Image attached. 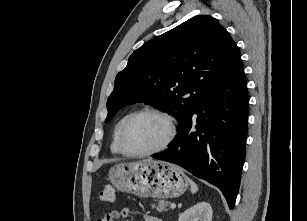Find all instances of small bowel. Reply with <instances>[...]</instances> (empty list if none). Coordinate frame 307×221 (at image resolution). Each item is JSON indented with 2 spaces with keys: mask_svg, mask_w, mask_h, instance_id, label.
I'll return each instance as SVG.
<instances>
[{
  "mask_svg": "<svg viewBox=\"0 0 307 221\" xmlns=\"http://www.w3.org/2000/svg\"><path fill=\"white\" fill-rule=\"evenodd\" d=\"M134 214L136 213L127 207L123 208L122 210L114 209L106 213L103 218L99 219L98 221H115L120 218H127ZM142 219L143 221H161L158 217L152 215H144Z\"/></svg>",
  "mask_w": 307,
  "mask_h": 221,
  "instance_id": "1",
  "label": "small bowel"
}]
</instances>
